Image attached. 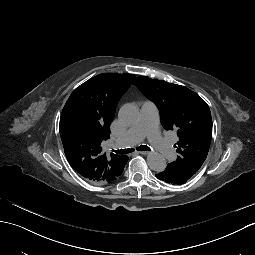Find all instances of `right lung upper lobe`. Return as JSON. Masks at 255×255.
I'll return each mask as SVG.
<instances>
[{"label": "right lung upper lobe", "mask_w": 255, "mask_h": 255, "mask_svg": "<svg viewBox=\"0 0 255 255\" xmlns=\"http://www.w3.org/2000/svg\"><path fill=\"white\" fill-rule=\"evenodd\" d=\"M134 78L133 74L97 75L77 87L62 110L59 130L66 158L93 184L112 183L128 160L125 155H106L101 143L109 138L117 103Z\"/></svg>", "instance_id": "obj_1"}]
</instances>
